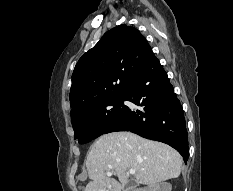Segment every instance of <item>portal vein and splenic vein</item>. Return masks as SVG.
Returning a JSON list of instances; mask_svg holds the SVG:
<instances>
[{
	"label": "portal vein and splenic vein",
	"instance_id": "portal-vein-and-splenic-vein-1",
	"mask_svg": "<svg viewBox=\"0 0 233 191\" xmlns=\"http://www.w3.org/2000/svg\"><path fill=\"white\" fill-rule=\"evenodd\" d=\"M129 173H130V174H135L136 171H135L134 169H130V170H129ZM112 174H113V173L110 172L108 175L111 176Z\"/></svg>",
	"mask_w": 233,
	"mask_h": 191
}]
</instances>
